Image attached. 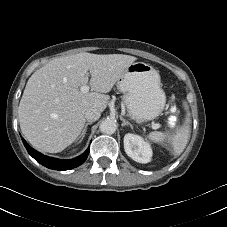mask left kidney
<instances>
[{
	"instance_id": "left-kidney-1",
	"label": "left kidney",
	"mask_w": 227,
	"mask_h": 227,
	"mask_svg": "<svg viewBox=\"0 0 227 227\" xmlns=\"http://www.w3.org/2000/svg\"><path fill=\"white\" fill-rule=\"evenodd\" d=\"M124 149L126 154L136 162L148 163L151 161V146L139 135L126 134L124 136Z\"/></svg>"
}]
</instances>
